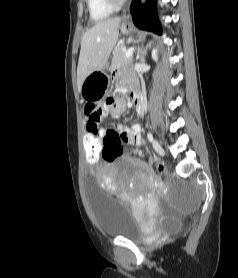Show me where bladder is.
<instances>
[{
  "label": "bladder",
  "mask_w": 238,
  "mask_h": 278,
  "mask_svg": "<svg viewBox=\"0 0 238 278\" xmlns=\"http://www.w3.org/2000/svg\"><path fill=\"white\" fill-rule=\"evenodd\" d=\"M86 180H97V175H86ZM97 181H85L91 208L100 231L109 237L142 241L147 229L133 213L129 204L103 191Z\"/></svg>",
  "instance_id": "obj_1"
}]
</instances>
